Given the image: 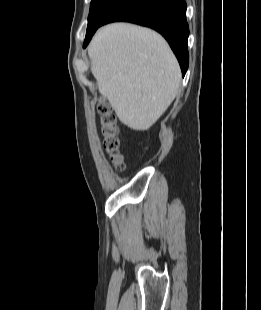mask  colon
Instances as JSON below:
<instances>
[{"instance_id": "obj_1", "label": "colon", "mask_w": 261, "mask_h": 310, "mask_svg": "<svg viewBox=\"0 0 261 310\" xmlns=\"http://www.w3.org/2000/svg\"><path fill=\"white\" fill-rule=\"evenodd\" d=\"M101 113V130L103 135V146L111 157L116 168L123 169V158L119 152V128L111 107L107 103H101L99 107Z\"/></svg>"}]
</instances>
